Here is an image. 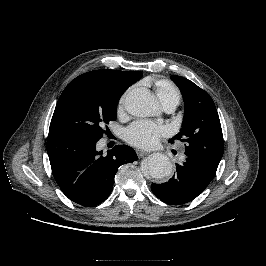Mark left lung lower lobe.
Masks as SVG:
<instances>
[{
    "label": "left lung lower lobe",
    "mask_w": 266,
    "mask_h": 266,
    "mask_svg": "<svg viewBox=\"0 0 266 266\" xmlns=\"http://www.w3.org/2000/svg\"><path fill=\"white\" fill-rule=\"evenodd\" d=\"M217 168L187 157L177 165L176 174L166 183L152 184V192L163 202L171 205L187 203L201 194L214 178Z\"/></svg>",
    "instance_id": "left-lung-lower-lobe-1"
}]
</instances>
